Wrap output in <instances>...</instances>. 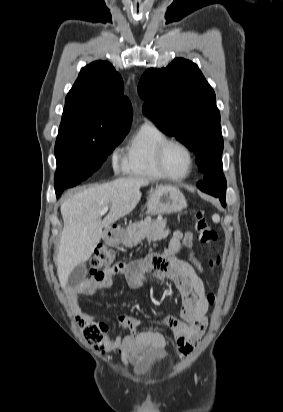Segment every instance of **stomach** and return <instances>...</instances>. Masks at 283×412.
<instances>
[{
  "label": "stomach",
  "mask_w": 283,
  "mask_h": 412,
  "mask_svg": "<svg viewBox=\"0 0 283 412\" xmlns=\"http://www.w3.org/2000/svg\"><path fill=\"white\" fill-rule=\"evenodd\" d=\"M186 205V199L178 188L169 185L160 186L154 190L147 202V213L151 215L178 213ZM121 241L123 235L114 240L117 243Z\"/></svg>",
  "instance_id": "obj_1"
}]
</instances>
